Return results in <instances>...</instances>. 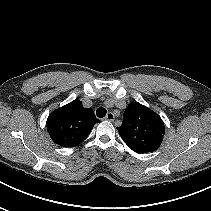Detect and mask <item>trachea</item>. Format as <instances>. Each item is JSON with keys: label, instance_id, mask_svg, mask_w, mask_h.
Returning a JSON list of instances; mask_svg holds the SVG:
<instances>
[{"label": "trachea", "instance_id": "obj_1", "mask_svg": "<svg viewBox=\"0 0 211 211\" xmlns=\"http://www.w3.org/2000/svg\"><path fill=\"white\" fill-rule=\"evenodd\" d=\"M107 113V110L105 108H102V107H99L97 110H96V115L97 117L99 118H103Z\"/></svg>", "mask_w": 211, "mask_h": 211}]
</instances>
